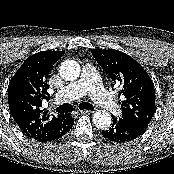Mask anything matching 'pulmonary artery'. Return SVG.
<instances>
[{
  "instance_id": "obj_1",
  "label": "pulmonary artery",
  "mask_w": 174,
  "mask_h": 174,
  "mask_svg": "<svg viewBox=\"0 0 174 174\" xmlns=\"http://www.w3.org/2000/svg\"><path fill=\"white\" fill-rule=\"evenodd\" d=\"M87 94L106 110L113 113L118 110L112 96L103 87L98 72L91 64L83 67L79 80L64 86L57 92L56 101L68 102Z\"/></svg>"
}]
</instances>
